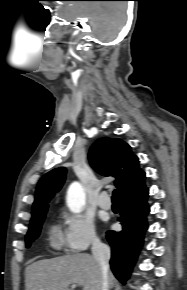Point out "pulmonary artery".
I'll list each match as a JSON object with an SVG mask.
<instances>
[{
    "mask_svg": "<svg viewBox=\"0 0 187 290\" xmlns=\"http://www.w3.org/2000/svg\"><path fill=\"white\" fill-rule=\"evenodd\" d=\"M100 208L108 210L111 208V201L109 200V197L106 192H102L97 201Z\"/></svg>",
    "mask_w": 187,
    "mask_h": 290,
    "instance_id": "obj_1",
    "label": "pulmonary artery"
}]
</instances>
